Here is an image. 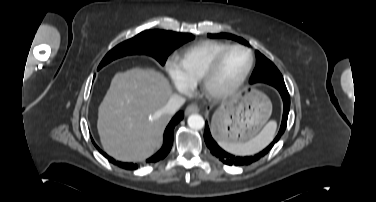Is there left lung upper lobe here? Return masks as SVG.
Segmentation results:
<instances>
[{"instance_id":"1","label":"left lung upper lobe","mask_w":376,"mask_h":202,"mask_svg":"<svg viewBox=\"0 0 376 202\" xmlns=\"http://www.w3.org/2000/svg\"><path fill=\"white\" fill-rule=\"evenodd\" d=\"M210 38H229L236 40L240 43L247 45L248 43L235 35L227 34V33H220V34H208ZM256 54V67L251 75L250 83L256 82H265L274 87L276 86H285L283 77L276 66L267 59L264 55H262L259 51L255 52Z\"/></svg>"}]
</instances>
